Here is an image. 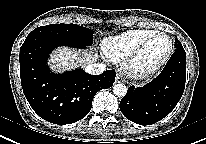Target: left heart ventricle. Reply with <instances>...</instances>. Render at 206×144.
I'll return each mask as SVG.
<instances>
[{"instance_id":"b2bd125f","label":"left heart ventricle","mask_w":206,"mask_h":144,"mask_svg":"<svg viewBox=\"0 0 206 144\" xmlns=\"http://www.w3.org/2000/svg\"><path fill=\"white\" fill-rule=\"evenodd\" d=\"M169 41L164 36H158L152 40L143 53L140 63L142 66H151L161 60L167 53Z\"/></svg>"}]
</instances>
